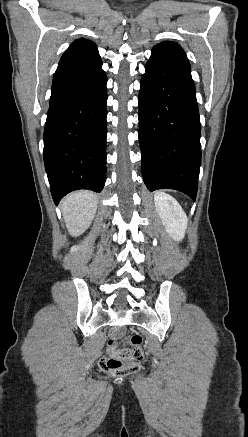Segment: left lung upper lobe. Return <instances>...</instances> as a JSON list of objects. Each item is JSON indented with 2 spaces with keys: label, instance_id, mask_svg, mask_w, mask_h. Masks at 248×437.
<instances>
[{
  "label": "left lung upper lobe",
  "instance_id": "obj_1",
  "mask_svg": "<svg viewBox=\"0 0 248 437\" xmlns=\"http://www.w3.org/2000/svg\"><path fill=\"white\" fill-rule=\"evenodd\" d=\"M163 65L191 70L188 58L181 48L175 42H162L153 47L150 60Z\"/></svg>",
  "mask_w": 248,
  "mask_h": 437
}]
</instances>
